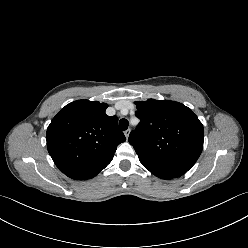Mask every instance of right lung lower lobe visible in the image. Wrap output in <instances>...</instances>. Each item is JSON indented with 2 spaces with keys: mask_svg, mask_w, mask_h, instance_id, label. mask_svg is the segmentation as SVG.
I'll return each instance as SVG.
<instances>
[{
  "mask_svg": "<svg viewBox=\"0 0 248 248\" xmlns=\"http://www.w3.org/2000/svg\"><path fill=\"white\" fill-rule=\"evenodd\" d=\"M99 172H100V171L93 172V173H87V174L69 175L68 177H70V178H72V179H77V180H86V179L93 178V177L96 176Z\"/></svg>",
  "mask_w": 248,
  "mask_h": 248,
  "instance_id": "98d812e1",
  "label": "right lung lower lobe"
}]
</instances>
